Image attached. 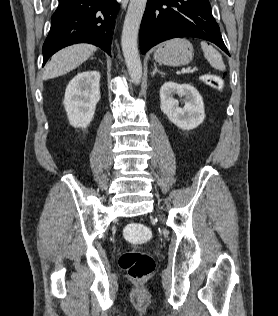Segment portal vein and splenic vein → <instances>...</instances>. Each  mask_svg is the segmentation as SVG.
Segmentation results:
<instances>
[{
  "label": "portal vein and splenic vein",
  "instance_id": "1",
  "mask_svg": "<svg viewBox=\"0 0 278 316\" xmlns=\"http://www.w3.org/2000/svg\"><path fill=\"white\" fill-rule=\"evenodd\" d=\"M191 72H192L191 67L183 68V69L181 70V73H182V74L191 73Z\"/></svg>",
  "mask_w": 278,
  "mask_h": 316
}]
</instances>
